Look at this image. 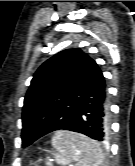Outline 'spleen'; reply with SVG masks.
<instances>
[{
	"instance_id": "spleen-1",
	"label": "spleen",
	"mask_w": 135,
	"mask_h": 166,
	"mask_svg": "<svg viewBox=\"0 0 135 166\" xmlns=\"http://www.w3.org/2000/svg\"><path fill=\"white\" fill-rule=\"evenodd\" d=\"M56 163L63 166H102L103 151L99 143L85 135L59 130L51 140Z\"/></svg>"
}]
</instances>
